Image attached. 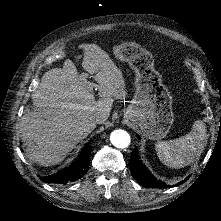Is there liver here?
Masks as SVG:
<instances>
[{"mask_svg": "<svg viewBox=\"0 0 221 221\" xmlns=\"http://www.w3.org/2000/svg\"><path fill=\"white\" fill-rule=\"evenodd\" d=\"M82 67L89 74H95L99 100L88 91L89 84L80 78L69 60L63 68L44 73L39 87L32 93V102L38 111H28L20 122L22 138L28 142L26 155L31 162L50 166L63 161L76 144L94 130L90 116L99 114L97 124H104L113 98L124 95L122 72L101 47H85Z\"/></svg>", "mask_w": 221, "mask_h": 221, "instance_id": "6515ba94", "label": "liver"}]
</instances>
